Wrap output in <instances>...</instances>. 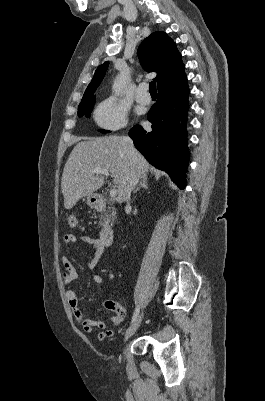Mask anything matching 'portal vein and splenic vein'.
I'll return each mask as SVG.
<instances>
[{
  "label": "portal vein and splenic vein",
  "mask_w": 265,
  "mask_h": 401,
  "mask_svg": "<svg viewBox=\"0 0 265 401\" xmlns=\"http://www.w3.org/2000/svg\"><path fill=\"white\" fill-rule=\"evenodd\" d=\"M92 172H95V174H105V176H109V170H106V168H94ZM110 194L111 196H116L117 190L112 188V190H110Z\"/></svg>",
  "instance_id": "portal-vein-and-splenic-vein-1"
}]
</instances>
